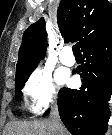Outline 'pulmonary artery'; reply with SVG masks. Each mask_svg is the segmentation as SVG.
Segmentation results:
<instances>
[{
  "label": "pulmonary artery",
  "instance_id": "1",
  "mask_svg": "<svg viewBox=\"0 0 112 135\" xmlns=\"http://www.w3.org/2000/svg\"><path fill=\"white\" fill-rule=\"evenodd\" d=\"M59 60L62 64L67 66H72L75 64V57L70 46H65L60 50Z\"/></svg>",
  "mask_w": 112,
  "mask_h": 135
}]
</instances>
